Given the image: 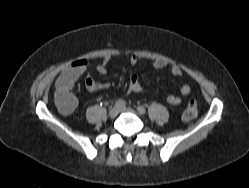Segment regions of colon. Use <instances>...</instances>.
Here are the masks:
<instances>
[{"label": "colon", "instance_id": "colon-1", "mask_svg": "<svg viewBox=\"0 0 249 188\" xmlns=\"http://www.w3.org/2000/svg\"><path fill=\"white\" fill-rule=\"evenodd\" d=\"M55 103L59 110L64 114H71L76 107V100L69 90L59 88L55 91ZM198 115L197 102L193 99L189 100L182 114V119L185 122L192 121Z\"/></svg>", "mask_w": 249, "mask_h": 188}]
</instances>
